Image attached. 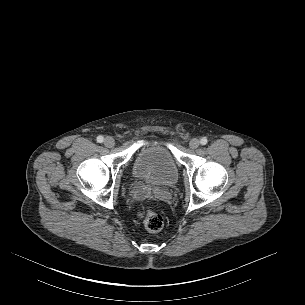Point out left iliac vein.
I'll use <instances>...</instances> for the list:
<instances>
[{
  "label": "left iliac vein",
  "mask_w": 305,
  "mask_h": 305,
  "mask_svg": "<svg viewBox=\"0 0 305 305\" xmlns=\"http://www.w3.org/2000/svg\"><path fill=\"white\" fill-rule=\"evenodd\" d=\"M199 145H200V141L197 138H193L189 142V146L191 149H196L199 147Z\"/></svg>",
  "instance_id": "left-iliac-vein-1"
}]
</instances>
